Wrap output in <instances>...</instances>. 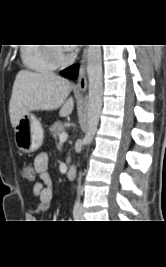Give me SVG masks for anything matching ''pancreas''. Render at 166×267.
I'll list each match as a JSON object with an SVG mask.
<instances>
[{
  "mask_svg": "<svg viewBox=\"0 0 166 267\" xmlns=\"http://www.w3.org/2000/svg\"><path fill=\"white\" fill-rule=\"evenodd\" d=\"M51 135L56 138L60 133L64 132L65 126L62 122H56L49 128ZM67 162H70V158H67Z\"/></svg>",
  "mask_w": 166,
  "mask_h": 267,
  "instance_id": "1",
  "label": "pancreas"
}]
</instances>
